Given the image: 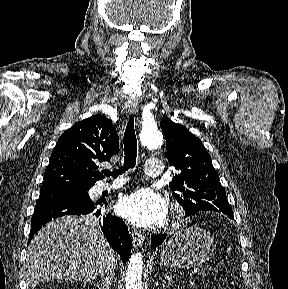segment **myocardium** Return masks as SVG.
Segmentation results:
<instances>
[{"label":"myocardium","instance_id":"1","mask_svg":"<svg viewBox=\"0 0 288 289\" xmlns=\"http://www.w3.org/2000/svg\"><path fill=\"white\" fill-rule=\"evenodd\" d=\"M173 226L181 227L185 221V211L182 205L174 203L171 208Z\"/></svg>","mask_w":288,"mask_h":289}]
</instances>
